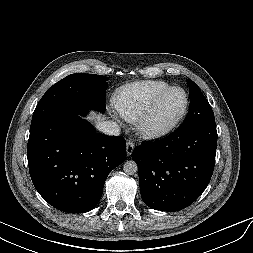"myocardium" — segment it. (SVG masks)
<instances>
[{"mask_svg": "<svg viewBox=\"0 0 253 253\" xmlns=\"http://www.w3.org/2000/svg\"><path fill=\"white\" fill-rule=\"evenodd\" d=\"M173 91H180L184 96V106L180 114L169 124L163 127H154L150 124L156 108L161 100ZM189 109V98L186 91L181 87H169L168 89L159 93L150 103L148 108L137 121V130L139 134L147 140H158L171 134L183 121Z\"/></svg>", "mask_w": 253, "mask_h": 253, "instance_id": "1", "label": "myocardium"}]
</instances>
